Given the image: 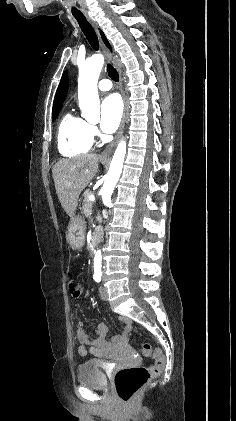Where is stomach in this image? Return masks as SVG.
I'll return each mask as SVG.
<instances>
[{"label":"stomach","mask_w":236,"mask_h":421,"mask_svg":"<svg viewBox=\"0 0 236 421\" xmlns=\"http://www.w3.org/2000/svg\"><path fill=\"white\" fill-rule=\"evenodd\" d=\"M105 162V160H102ZM86 221L80 215H73L69 221L66 241L71 249H81L85 243Z\"/></svg>","instance_id":"obj_1"}]
</instances>
